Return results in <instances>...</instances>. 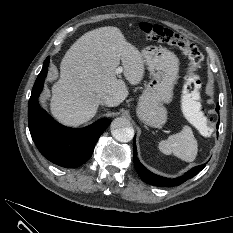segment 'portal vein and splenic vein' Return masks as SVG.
I'll list each match as a JSON object with an SVG mask.
<instances>
[{
	"label": "portal vein and splenic vein",
	"mask_w": 233,
	"mask_h": 233,
	"mask_svg": "<svg viewBox=\"0 0 233 233\" xmlns=\"http://www.w3.org/2000/svg\"><path fill=\"white\" fill-rule=\"evenodd\" d=\"M122 71H123V68H122V67H118V68H116V70H115V74H116V75L121 74Z\"/></svg>",
	"instance_id": "1"
}]
</instances>
